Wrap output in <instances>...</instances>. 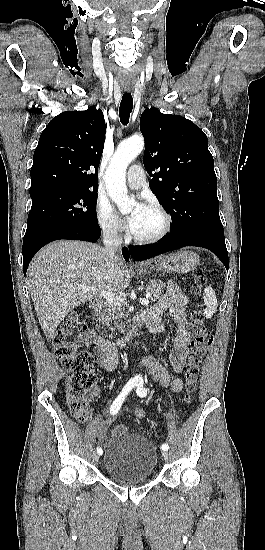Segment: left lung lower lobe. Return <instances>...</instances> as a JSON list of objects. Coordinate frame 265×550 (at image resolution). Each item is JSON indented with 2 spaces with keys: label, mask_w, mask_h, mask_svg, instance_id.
<instances>
[{
  "label": "left lung lower lobe",
  "mask_w": 265,
  "mask_h": 550,
  "mask_svg": "<svg viewBox=\"0 0 265 550\" xmlns=\"http://www.w3.org/2000/svg\"><path fill=\"white\" fill-rule=\"evenodd\" d=\"M185 246H198L212 251L228 271V253L224 238L202 231H185L174 235L168 234L157 244L129 246V253L134 260L141 261Z\"/></svg>",
  "instance_id": "left-lung-lower-lobe-1"
}]
</instances>
